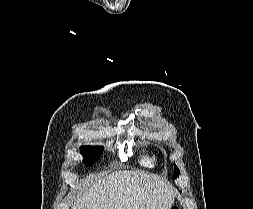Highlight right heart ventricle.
<instances>
[{"label": "right heart ventricle", "instance_id": "1", "mask_svg": "<svg viewBox=\"0 0 253 209\" xmlns=\"http://www.w3.org/2000/svg\"><path fill=\"white\" fill-rule=\"evenodd\" d=\"M141 162L146 166H154L157 162L156 154L151 150L145 149Z\"/></svg>", "mask_w": 253, "mask_h": 209}]
</instances>
